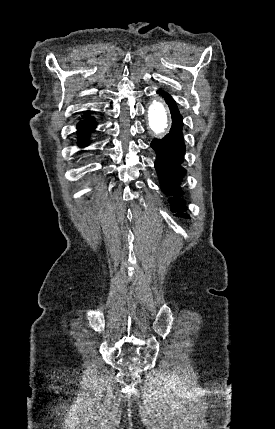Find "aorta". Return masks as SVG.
I'll return each instance as SVG.
<instances>
[{"label": "aorta", "instance_id": "1", "mask_svg": "<svg viewBox=\"0 0 275 429\" xmlns=\"http://www.w3.org/2000/svg\"><path fill=\"white\" fill-rule=\"evenodd\" d=\"M147 118L150 129L155 134L164 133L169 125L170 114L168 107L160 97H154L147 109Z\"/></svg>", "mask_w": 275, "mask_h": 429}]
</instances>
